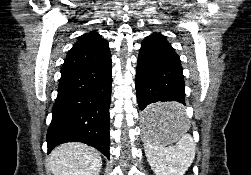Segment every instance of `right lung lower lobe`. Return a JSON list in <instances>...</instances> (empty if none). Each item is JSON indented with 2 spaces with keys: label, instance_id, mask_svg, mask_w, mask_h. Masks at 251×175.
I'll return each instance as SVG.
<instances>
[{
  "label": "right lung lower lobe",
  "instance_id": "1",
  "mask_svg": "<svg viewBox=\"0 0 251 175\" xmlns=\"http://www.w3.org/2000/svg\"><path fill=\"white\" fill-rule=\"evenodd\" d=\"M111 70V54L101 62L61 69L47 132L48 153L58 144L76 141L109 158Z\"/></svg>",
  "mask_w": 251,
  "mask_h": 175
}]
</instances>
